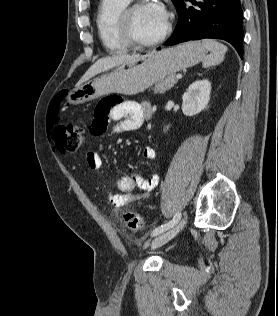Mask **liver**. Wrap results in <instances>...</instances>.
Instances as JSON below:
<instances>
[{"mask_svg":"<svg viewBox=\"0 0 278 316\" xmlns=\"http://www.w3.org/2000/svg\"><path fill=\"white\" fill-rule=\"evenodd\" d=\"M152 53H148L146 55L141 54H132V55H113L109 57H104L96 61L89 69L88 71L83 75V77L78 81L76 84L77 86H80L82 83L86 82L90 78L94 77L95 75L107 71L109 69H112L116 66H120L127 63H133L136 62L143 57H146L148 55H151Z\"/></svg>","mask_w":278,"mask_h":316,"instance_id":"6515ba94","label":"liver"}]
</instances>
